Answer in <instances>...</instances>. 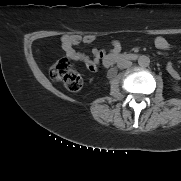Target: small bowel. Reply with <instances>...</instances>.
<instances>
[{
  "instance_id": "obj_1",
  "label": "small bowel",
  "mask_w": 181,
  "mask_h": 181,
  "mask_svg": "<svg viewBox=\"0 0 181 181\" xmlns=\"http://www.w3.org/2000/svg\"><path fill=\"white\" fill-rule=\"evenodd\" d=\"M95 40V37L93 35H62L60 37V43L61 47L64 50L66 56L73 60V61H79L82 62L85 67L90 71H96L100 59L104 56V53L100 50L94 49L93 50V56L90 57L76 49V47L82 43L89 44L92 43ZM155 46L160 50H166L169 48L170 43L169 41L163 37L158 36L154 40ZM121 50V43L117 40L113 41L112 43V50L109 55H117L119 51ZM167 72L168 74L175 80L181 79V74L178 72V70L175 68V66L172 63L167 64Z\"/></svg>"
}]
</instances>
